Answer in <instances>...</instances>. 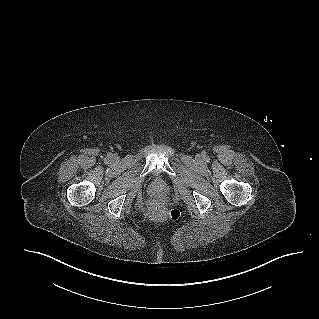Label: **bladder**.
<instances>
[{"label": "bladder", "mask_w": 319, "mask_h": 319, "mask_svg": "<svg viewBox=\"0 0 319 319\" xmlns=\"http://www.w3.org/2000/svg\"><path fill=\"white\" fill-rule=\"evenodd\" d=\"M159 184H155V186H154V190H158L159 189Z\"/></svg>", "instance_id": "31cf9c89"}]
</instances>
